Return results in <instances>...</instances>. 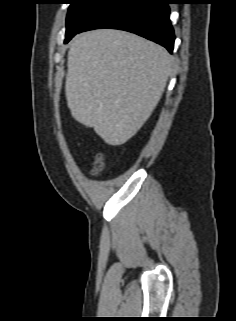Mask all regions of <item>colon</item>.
<instances>
[{
    "mask_svg": "<svg viewBox=\"0 0 236 321\" xmlns=\"http://www.w3.org/2000/svg\"><path fill=\"white\" fill-rule=\"evenodd\" d=\"M103 168H104V155L99 153L95 157V160H94L93 165H92L91 173L93 175H96L99 172H101L103 170Z\"/></svg>",
    "mask_w": 236,
    "mask_h": 321,
    "instance_id": "5ec220e1",
    "label": "colon"
}]
</instances>
